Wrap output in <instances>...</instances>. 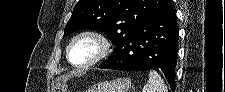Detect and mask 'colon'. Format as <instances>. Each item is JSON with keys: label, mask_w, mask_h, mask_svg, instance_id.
Listing matches in <instances>:
<instances>
[{"label": "colon", "mask_w": 225, "mask_h": 92, "mask_svg": "<svg viewBox=\"0 0 225 92\" xmlns=\"http://www.w3.org/2000/svg\"><path fill=\"white\" fill-rule=\"evenodd\" d=\"M67 77L62 76L56 82L55 92H66Z\"/></svg>", "instance_id": "1"}]
</instances>
